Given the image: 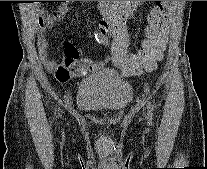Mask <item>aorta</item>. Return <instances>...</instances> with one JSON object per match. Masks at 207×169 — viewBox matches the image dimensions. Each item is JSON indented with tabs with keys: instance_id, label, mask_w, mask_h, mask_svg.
Listing matches in <instances>:
<instances>
[{
	"instance_id": "1",
	"label": "aorta",
	"mask_w": 207,
	"mask_h": 169,
	"mask_svg": "<svg viewBox=\"0 0 207 169\" xmlns=\"http://www.w3.org/2000/svg\"><path fill=\"white\" fill-rule=\"evenodd\" d=\"M135 2L136 1H112V4H110V7L113 11H118V10L122 11V10H124L123 9L124 7H128Z\"/></svg>"
}]
</instances>
